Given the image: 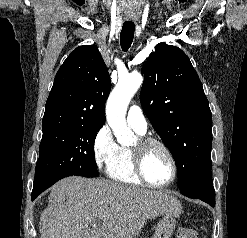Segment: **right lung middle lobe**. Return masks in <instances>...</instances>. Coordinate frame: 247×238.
<instances>
[{
  "mask_svg": "<svg viewBox=\"0 0 247 238\" xmlns=\"http://www.w3.org/2000/svg\"><path fill=\"white\" fill-rule=\"evenodd\" d=\"M102 126L76 124L43 131L32 195L67 176L97 177L94 141Z\"/></svg>",
  "mask_w": 247,
  "mask_h": 238,
  "instance_id": "dd1d6c3e",
  "label": "right lung middle lobe"
}]
</instances>
